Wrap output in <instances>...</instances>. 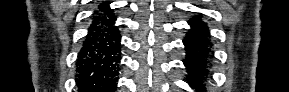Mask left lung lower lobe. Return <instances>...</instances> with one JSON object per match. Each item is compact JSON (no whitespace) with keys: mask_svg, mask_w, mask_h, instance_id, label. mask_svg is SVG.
<instances>
[{"mask_svg":"<svg viewBox=\"0 0 289 92\" xmlns=\"http://www.w3.org/2000/svg\"><path fill=\"white\" fill-rule=\"evenodd\" d=\"M188 23L191 30L183 40L186 49L183 63L188 72L191 88L204 91L206 88L203 82L207 78L211 59L210 34L207 25L200 18L190 19Z\"/></svg>","mask_w":289,"mask_h":92,"instance_id":"obj_1","label":"left lung lower lobe"}]
</instances>
